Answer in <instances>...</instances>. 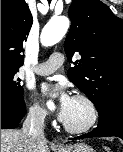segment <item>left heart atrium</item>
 Here are the masks:
<instances>
[{
  "instance_id": "1",
  "label": "left heart atrium",
  "mask_w": 123,
  "mask_h": 152,
  "mask_svg": "<svg viewBox=\"0 0 123 152\" xmlns=\"http://www.w3.org/2000/svg\"><path fill=\"white\" fill-rule=\"evenodd\" d=\"M41 93L45 97H53L55 99V109L57 115L62 121H64L67 117L73 99L66 91L64 85H51L44 83L41 85Z\"/></svg>"
}]
</instances>
